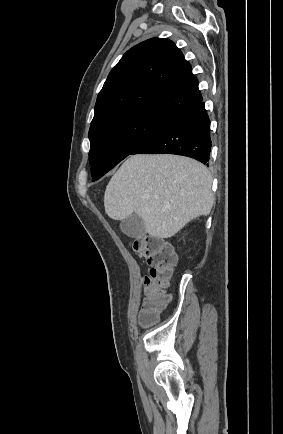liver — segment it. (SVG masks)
I'll use <instances>...</instances> for the list:
<instances>
[{"label":"liver","instance_id":"liver-1","mask_svg":"<svg viewBox=\"0 0 283 434\" xmlns=\"http://www.w3.org/2000/svg\"><path fill=\"white\" fill-rule=\"evenodd\" d=\"M212 176L198 161L169 154L130 156L110 179L104 207L113 220L142 218L153 237L170 238L210 213Z\"/></svg>","mask_w":283,"mask_h":434}]
</instances>
